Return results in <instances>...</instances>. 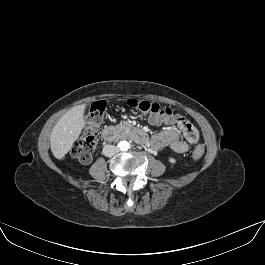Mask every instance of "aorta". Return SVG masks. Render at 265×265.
I'll list each match as a JSON object with an SVG mask.
<instances>
[{
	"label": "aorta",
	"mask_w": 265,
	"mask_h": 265,
	"mask_svg": "<svg viewBox=\"0 0 265 265\" xmlns=\"http://www.w3.org/2000/svg\"><path fill=\"white\" fill-rule=\"evenodd\" d=\"M118 148L121 150V151H127L129 148H130V143L123 140V141H120L118 143Z\"/></svg>",
	"instance_id": "762f6f07"
}]
</instances>
